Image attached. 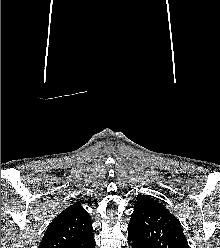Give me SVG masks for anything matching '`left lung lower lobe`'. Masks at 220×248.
Listing matches in <instances>:
<instances>
[{
  "label": "left lung lower lobe",
  "mask_w": 220,
  "mask_h": 248,
  "mask_svg": "<svg viewBox=\"0 0 220 248\" xmlns=\"http://www.w3.org/2000/svg\"><path fill=\"white\" fill-rule=\"evenodd\" d=\"M128 242H131L132 248H146L144 244L139 242L132 234L128 232Z\"/></svg>",
  "instance_id": "left-lung-lower-lobe-1"
}]
</instances>
